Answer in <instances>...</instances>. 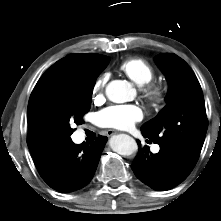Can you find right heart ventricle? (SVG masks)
Returning <instances> with one entry per match:
<instances>
[{"instance_id": "obj_1", "label": "right heart ventricle", "mask_w": 221, "mask_h": 221, "mask_svg": "<svg viewBox=\"0 0 221 221\" xmlns=\"http://www.w3.org/2000/svg\"><path fill=\"white\" fill-rule=\"evenodd\" d=\"M120 69L140 87L149 84L155 77L154 67L142 58L128 59L121 64Z\"/></svg>"}]
</instances>
